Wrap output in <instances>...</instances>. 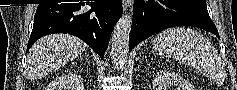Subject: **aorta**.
I'll return each mask as SVG.
<instances>
[{"label": "aorta", "instance_id": "aorta-1", "mask_svg": "<svg viewBox=\"0 0 237 90\" xmlns=\"http://www.w3.org/2000/svg\"><path fill=\"white\" fill-rule=\"evenodd\" d=\"M132 16L123 12L112 34L111 56L117 70H123L126 66L129 52V36L132 28Z\"/></svg>", "mask_w": 237, "mask_h": 90}]
</instances>
